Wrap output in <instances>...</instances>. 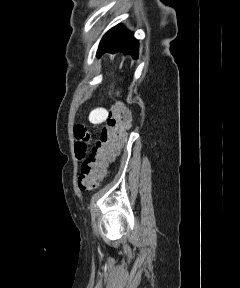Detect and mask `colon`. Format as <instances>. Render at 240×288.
<instances>
[{"mask_svg":"<svg viewBox=\"0 0 240 288\" xmlns=\"http://www.w3.org/2000/svg\"><path fill=\"white\" fill-rule=\"evenodd\" d=\"M107 119L108 125L103 129L100 140L81 165L78 185L83 191L97 187L104 176L107 163L118 152L124 142L125 132L131 124L130 111L122 103H116L111 107Z\"/></svg>","mask_w":240,"mask_h":288,"instance_id":"5ec220e1","label":"colon"}]
</instances>
